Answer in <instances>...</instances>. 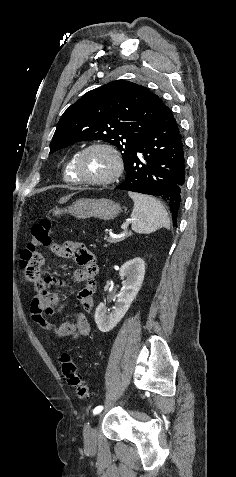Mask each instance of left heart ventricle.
Masks as SVG:
<instances>
[{
    "label": "left heart ventricle",
    "mask_w": 236,
    "mask_h": 477,
    "mask_svg": "<svg viewBox=\"0 0 236 477\" xmlns=\"http://www.w3.org/2000/svg\"><path fill=\"white\" fill-rule=\"evenodd\" d=\"M111 157L101 149H92L82 158L80 171L83 177L88 179H101L113 171Z\"/></svg>",
    "instance_id": "1"
}]
</instances>
